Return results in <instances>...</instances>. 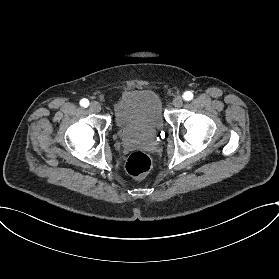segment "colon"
<instances>
[{
	"label": "colon",
	"instance_id": "colon-1",
	"mask_svg": "<svg viewBox=\"0 0 279 279\" xmlns=\"http://www.w3.org/2000/svg\"><path fill=\"white\" fill-rule=\"evenodd\" d=\"M150 168V158L145 153L140 151L132 153L126 162V170L133 177L147 174Z\"/></svg>",
	"mask_w": 279,
	"mask_h": 279
}]
</instances>
